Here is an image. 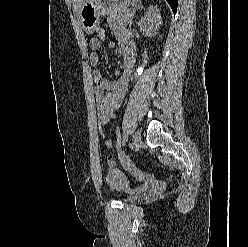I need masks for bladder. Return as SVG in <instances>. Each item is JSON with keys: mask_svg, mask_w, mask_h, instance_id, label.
<instances>
[{"mask_svg": "<svg viewBox=\"0 0 248 247\" xmlns=\"http://www.w3.org/2000/svg\"><path fill=\"white\" fill-rule=\"evenodd\" d=\"M106 180L110 189L115 193L124 195L126 200H131L133 196L140 193L138 188L130 184L129 179L123 171H110Z\"/></svg>", "mask_w": 248, "mask_h": 247, "instance_id": "obj_1", "label": "bladder"}]
</instances>
